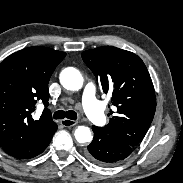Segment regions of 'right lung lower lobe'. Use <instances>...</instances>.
<instances>
[{
  "mask_svg": "<svg viewBox=\"0 0 183 183\" xmlns=\"http://www.w3.org/2000/svg\"><path fill=\"white\" fill-rule=\"evenodd\" d=\"M51 139H52V138H51ZM50 141H51V140H50ZM50 141L48 142V144L50 143ZM48 144L45 146V148L43 149V151L46 149V147L48 146ZM43 151H42V152H43Z\"/></svg>",
  "mask_w": 183,
  "mask_h": 183,
  "instance_id": "98d812e1",
  "label": "right lung lower lobe"
}]
</instances>
